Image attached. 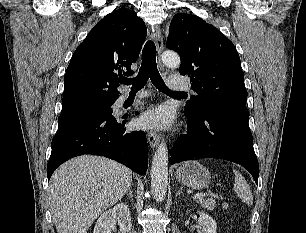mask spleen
<instances>
[{"mask_svg":"<svg viewBox=\"0 0 306 233\" xmlns=\"http://www.w3.org/2000/svg\"><path fill=\"white\" fill-rule=\"evenodd\" d=\"M233 172L235 174L234 191L239 199L251 206L253 204V195L248 183L238 171L233 170Z\"/></svg>","mask_w":306,"mask_h":233,"instance_id":"obj_1","label":"spleen"}]
</instances>
